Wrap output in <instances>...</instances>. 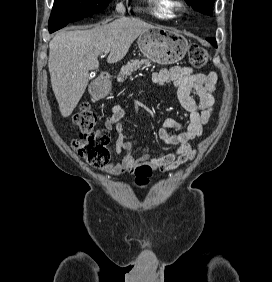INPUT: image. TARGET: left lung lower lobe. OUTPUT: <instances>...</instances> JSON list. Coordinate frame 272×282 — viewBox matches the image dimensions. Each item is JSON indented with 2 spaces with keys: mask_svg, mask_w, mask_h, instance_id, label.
<instances>
[{
  "mask_svg": "<svg viewBox=\"0 0 272 282\" xmlns=\"http://www.w3.org/2000/svg\"><path fill=\"white\" fill-rule=\"evenodd\" d=\"M214 47H217L216 40L214 38H208L207 39Z\"/></svg>",
  "mask_w": 272,
  "mask_h": 282,
  "instance_id": "0a47b994",
  "label": "left lung lower lobe"
}]
</instances>
